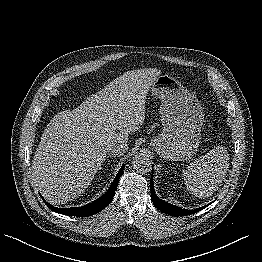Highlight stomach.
Here are the masks:
<instances>
[{
  "label": "stomach",
  "mask_w": 262,
  "mask_h": 262,
  "mask_svg": "<svg viewBox=\"0 0 262 262\" xmlns=\"http://www.w3.org/2000/svg\"><path fill=\"white\" fill-rule=\"evenodd\" d=\"M151 92L161 100L160 118L163 131L151 145L164 160L190 159L200 143L204 121L198 99L171 75L159 76Z\"/></svg>",
  "instance_id": "0dacf381"
}]
</instances>
